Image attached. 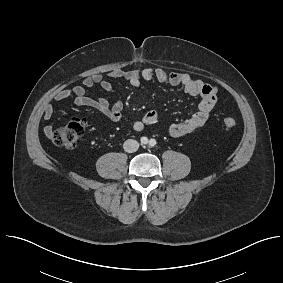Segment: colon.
Returning <instances> with one entry per match:
<instances>
[{"label":"colon","mask_w":283,"mask_h":283,"mask_svg":"<svg viewBox=\"0 0 283 283\" xmlns=\"http://www.w3.org/2000/svg\"><path fill=\"white\" fill-rule=\"evenodd\" d=\"M223 125L231 129L235 127L236 120L233 117H225ZM84 130V122L81 119H74L65 125L55 129L52 133L53 142L63 148L72 149L76 146Z\"/></svg>","instance_id":"obj_1"}]
</instances>
